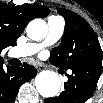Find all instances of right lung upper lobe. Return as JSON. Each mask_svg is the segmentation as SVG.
Masks as SVG:
<instances>
[{
  "label": "right lung upper lobe",
  "mask_w": 103,
  "mask_h": 103,
  "mask_svg": "<svg viewBox=\"0 0 103 103\" xmlns=\"http://www.w3.org/2000/svg\"><path fill=\"white\" fill-rule=\"evenodd\" d=\"M49 12L48 7L34 4H0V53L4 48L16 45L29 21L46 17Z\"/></svg>",
  "instance_id": "right-lung-upper-lobe-1"
}]
</instances>
